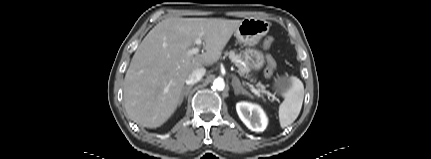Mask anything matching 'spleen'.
Segmentation results:
<instances>
[{"mask_svg":"<svg viewBox=\"0 0 431 159\" xmlns=\"http://www.w3.org/2000/svg\"><path fill=\"white\" fill-rule=\"evenodd\" d=\"M292 81V89L279 106V121L282 128L291 125L297 119L304 99V86L301 80L292 77Z\"/></svg>","mask_w":431,"mask_h":159,"instance_id":"1","label":"spleen"}]
</instances>
